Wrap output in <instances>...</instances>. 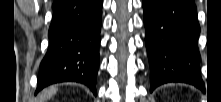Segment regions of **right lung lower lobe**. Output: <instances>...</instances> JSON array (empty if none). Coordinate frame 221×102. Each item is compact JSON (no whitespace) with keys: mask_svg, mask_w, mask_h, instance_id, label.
I'll use <instances>...</instances> for the list:
<instances>
[{"mask_svg":"<svg viewBox=\"0 0 221 102\" xmlns=\"http://www.w3.org/2000/svg\"><path fill=\"white\" fill-rule=\"evenodd\" d=\"M102 5L103 0L54 1L36 93L54 83L74 81L96 95Z\"/></svg>","mask_w":221,"mask_h":102,"instance_id":"obj_1","label":"right lung lower lobe"}]
</instances>
